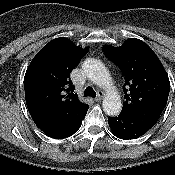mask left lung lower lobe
I'll use <instances>...</instances> for the list:
<instances>
[{"label":"left lung lower lobe","mask_w":175,"mask_h":175,"mask_svg":"<svg viewBox=\"0 0 175 175\" xmlns=\"http://www.w3.org/2000/svg\"><path fill=\"white\" fill-rule=\"evenodd\" d=\"M162 111L157 109L123 112L109 117L108 123L113 134L120 139L138 138L151 129L158 121Z\"/></svg>","instance_id":"0a47b994"}]
</instances>
